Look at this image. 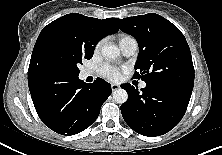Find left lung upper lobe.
<instances>
[{
	"mask_svg": "<svg viewBox=\"0 0 222 155\" xmlns=\"http://www.w3.org/2000/svg\"><path fill=\"white\" fill-rule=\"evenodd\" d=\"M116 24L139 45L133 78L192 93L194 67L191 52L181 31L154 13L117 19Z\"/></svg>",
	"mask_w": 222,
	"mask_h": 155,
	"instance_id": "1",
	"label": "left lung upper lobe"
}]
</instances>
